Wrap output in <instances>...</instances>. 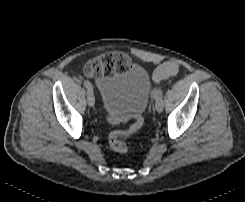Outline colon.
Here are the masks:
<instances>
[{"instance_id":"obj_1","label":"colon","mask_w":245,"mask_h":202,"mask_svg":"<svg viewBox=\"0 0 245 202\" xmlns=\"http://www.w3.org/2000/svg\"><path fill=\"white\" fill-rule=\"evenodd\" d=\"M129 65V59L126 55L107 54L95 57L87 62L86 70L88 75L97 74L113 75L116 72H125ZM179 71V63L175 60L169 61L160 66L155 71V76L160 80H164L168 76L174 75ZM134 122L126 129L113 131L108 138L109 147L118 153H126L128 145L126 139L133 135L143 124V117L140 114L134 115Z\"/></svg>"}]
</instances>
